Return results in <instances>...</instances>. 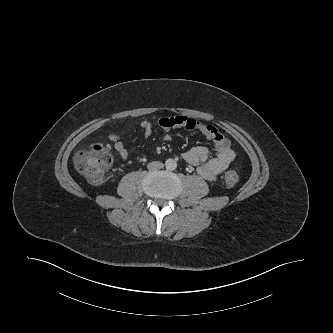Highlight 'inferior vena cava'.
Wrapping results in <instances>:
<instances>
[{"label":"inferior vena cava","instance_id":"obj_1","mask_svg":"<svg viewBox=\"0 0 333 333\" xmlns=\"http://www.w3.org/2000/svg\"><path fill=\"white\" fill-rule=\"evenodd\" d=\"M164 167V164L159 162V161H153V162H150L148 165H147V168L148 170L150 171H157L161 168Z\"/></svg>","mask_w":333,"mask_h":333}]
</instances>
